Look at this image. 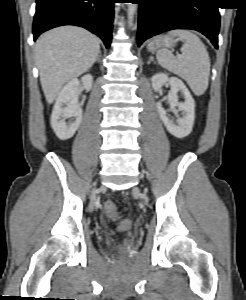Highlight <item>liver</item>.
Instances as JSON below:
<instances>
[{"label": "liver", "instance_id": "obj_1", "mask_svg": "<svg viewBox=\"0 0 246 300\" xmlns=\"http://www.w3.org/2000/svg\"><path fill=\"white\" fill-rule=\"evenodd\" d=\"M99 52L98 38L80 27H58L41 35L35 61L46 101L52 103L64 84L89 70Z\"/></svg>", "mask_w": 246, "mask_h": 300}]
</instances>
